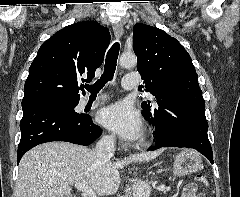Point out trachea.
Wrapping results in <instances>:
<instances>
[{
	"instance_id": "obj_1",
	"label": "trachea",
	"mask_w": 240,
	"mask_h": 197,
	"mask_svg": "<svg viewBox=\"0 0 240 197\" xmlns=\"http://www.w3.org/2000/svg\"><path fill=\"white\" fill-rule=\"evenodd\" d=\"M118 55H119V43L116 42L111 46V48L107 52L104 72L101 75L100 79L97 80L93 85L84 86L87 91H89L91 94H97L108 81L113 80Z\"/></svg>"
}]
</instances>
